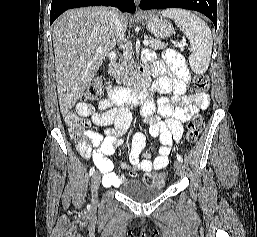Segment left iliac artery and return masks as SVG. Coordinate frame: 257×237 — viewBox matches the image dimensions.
<instances>
[{"mask_svg":"<svg viewBox=\"0 0 257 237\" xmlns=\"http://www.w3.org/2000/svg\"><path fill=\"white\" fill-rule=\"evenodd\" d=\"M176 157L178 161H180L181 163L183 162V158L181 155L177 154Z\"/></svg>","mask_w":257,"mask_h":237,"instance_id":"obj_1","label":"left iliac artery"}]
</instances>
